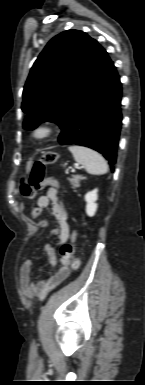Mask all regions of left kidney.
Segmentation results:
<instances>
[{"mask_svg":"<svg viewBox=\"0 0 145 385\" xmlns=\"http://www.w3.org/2000/svg\"><path fill=\"white\" fill-rule=\"evenodd\" d=\"M97 189H94L88 193H86L85 195V201H86V213L88 216L92 217L95 215L96 213V210H97V199H98V195H97Z\"/></svg>","mask_w":145,"mask_h":385,"instance_id":"left-kidney-1","label":"left kidney"}]
</instances>
